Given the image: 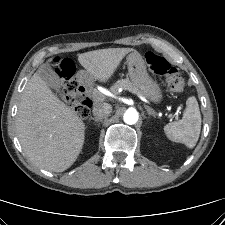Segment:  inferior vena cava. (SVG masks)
I'll return each instance as SVG.
<instances>
[{
  "instance_id": "1",
  "label": "inferior vena cava",
  "mask_w": 225,
  "mask_h": 225,
  "mask_svg": "<svg viewBox=\"0 0 225 225\" xmlns=\"http://www.w3.org/2000/svg\"><path fill=\"white\" fill-rule=\"evenodd\" d=\"M92 112L95 118L103 119L108 117L112 112V106L108 103H100L93 108Z\"/></svg>"
}]
</instances>
